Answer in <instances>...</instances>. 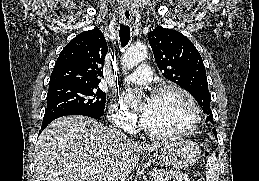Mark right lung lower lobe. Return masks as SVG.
<instances>
[{
  "label": "right lung lower lobe",
  "mask_w": 259,
  "mask_h": 181,
  "mask_svg": "<svg viewBox=\"0 0 259 181\" xmlns=\"http://www.w3.org/2000/svg\"><path fill=\"white\" fill-rule=\"evenodd\" d=\"M67 115H83V116H88L91 118H95V119H99L101 118L103 115H97V114H93V113H89V112H85V111H67L64 112L58 116H56L55 118L46 120L42 122V126H41V130L39 131V133H41L42 130L45 129V127L52 122L53 120H55L56 118L62 117V116H67Z\"/></svg>",
  "instance_id": "right-lung-lower-lobe-1"
}]
</instances>
